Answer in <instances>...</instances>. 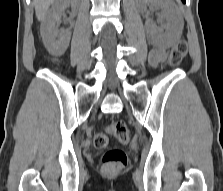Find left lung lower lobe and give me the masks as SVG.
I'll return each mask as SVG.
<instances>
[{
    "instance_id": "obj_1",
    "label": "left lung lower lobe",
    "mask_w": 223,
    "mask_h": 191,
    "mask_svg": "<svg viewBox=\"0 0 223 191\" xmlns=\"http://www.w3.org/2000/svg\"><path fill=\"white\" fill-rule=\"evenodd\" d=\"M182 2H183V3H185V2H186V0H182Z\"/></svg>"
}]
</instances>
